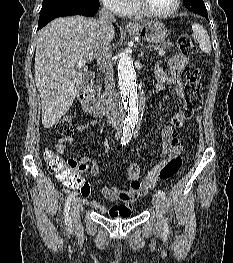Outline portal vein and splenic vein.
<instances>
[{"label": "portal vein and splenic vein", "mask_w": 233, "mask_h": 263, "mask_svg": "<svg viewBox=\"0 0 233 263\" xmlns=\"http://www.w3.org/2000/svg\"><path fill=\"white\" fill-rule=\"evenodd\" d=\"M164 54H165V52H164L163 50H160V51H159V55H160V56H163ZM85 63H86V61H84V60H83V61H79V62H78V66L81 67V66L84 65Z\"/></svg>", "instance_id": "portal-vein-and-splenic-vein-1"}]
</instances>
